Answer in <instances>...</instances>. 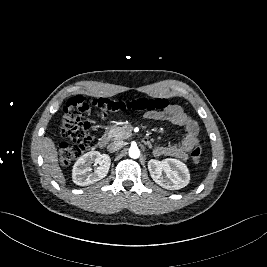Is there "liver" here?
Here are the masks:
<instances>
[{"label":"liver","mask_w":267,"mask_h":267,"mask_svg":"<svg viewBox=\"0 0 267 267\" xmlns=\"http://www.w3.org/2000/svg\"><path fill=\"white\" fill-rule=\"evenodd\" d=\"M42 156L46 170L58 183L64 185L66 179L58 164V152L53 140L49 137L43 139Z\"/></svg>","instance_id":"liver-1"}]
</instances>
